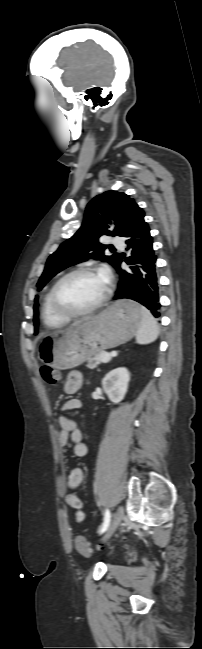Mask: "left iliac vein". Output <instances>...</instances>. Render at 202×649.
<instances>
[{"label":"left iliac vein","instance_id":"left-iliac-vein-1","mask_svg":"<svg viewBox=\"0 0 202 649\" xmlns=\"http://www.w3.org/2000/svg\"><path fill=\"white\" fill-rule=\"evenodd\" d=\"M123 518H124V509L122 506H119L114 514L111 524L107 529L106 534L102 538V542H106L113 535V533L116 531Z\"/></svg>","mask_w":202,"mask_h":649}]
</instances>
